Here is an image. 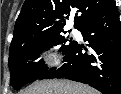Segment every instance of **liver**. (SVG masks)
<instances>
[{
	"label": "liver",
	"mask_w": 121,
	"mask_h": 94,
	"mask_svg": "<svg viewBox=\"0 0 121 94\" xmlns=\"http://www.w3.org/2000/svg\"><path fill=\"white\" fill-rule=\"evenodd\" d=\"M19 94H100L97 90L69 80H44L36 82Z\"/></svg>",
	"instance_id": "1"
}]
</instances>
